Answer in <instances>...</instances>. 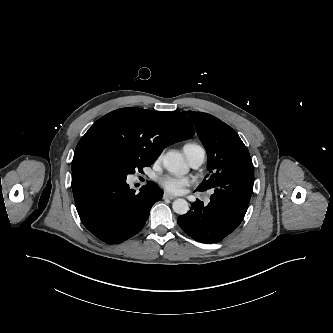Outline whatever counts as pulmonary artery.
<instances>
[{"label":"pulmonary artery","mask_w":333,"mask_h":333,"mask_svg":"<svg viewBox=\"0 0 333 333\" xmlns=\"http://www.w3.org/2000/svg\"><path fill=\"white\" fill-rule=\"evenodd\" d=\"M205 158L206 154L204 149L202 148L194 150L187 156L188 162L193 168H198L199 166H201L205 161Z\"/></svg>","instance_id":"obj_1"}]
</instances>
